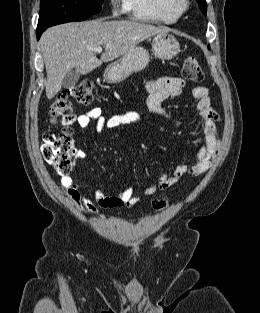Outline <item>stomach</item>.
Instances as JSON below:
<instances>
[{
	"mask_svg": "<svg viewBox=\"0 0 260 313\" xmlns=\"http://www.w3.org/2000/svg\"><path fill=\"white\" fill-rule=\"evenodd\" d=\"M152 51L157 58L169 60L178 55L180 44L173 35L160 33L152 41ZM149 61V52L143 47L135 46L106 67L104 79L108 83H119L131 74L145 69Z\"/></svg>",
	"mask_w": 260,
	"mask_h": 313,
	"instance_id": "1",
	"label": "stomach"
}]
</instances>
